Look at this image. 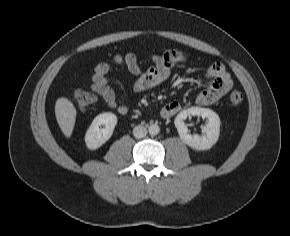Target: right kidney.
<instances>
[{"label":"right kidney","mask_w":290,"mask_h":236,"mask_svg":"<svg viewBox=\"0 0 290 236\" xmlns=\"http://www.w3.org/2000/svg\"><path fill=\"white\" fill-rule=\"evenodd\" d=\"M116 124L117 117L111 112L97 115L85 134L86 146L91 150L101 147L112 136Z\"/></svg>","instance_id":"ca27d5eb"}]
</instances>
